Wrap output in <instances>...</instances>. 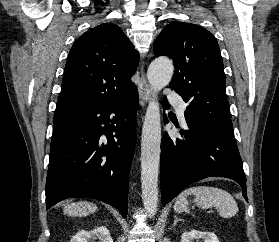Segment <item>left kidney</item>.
Here are the masks:
<instances>
[{"instance_id":"obj_1","label":"left kidney","mask_w":279,"mask_h":242,"mask_svg":"<svg viewBox=\"0 0 279 242\" xmlns=\"http://www.w3.org/2000/svg\"><path fill=\"white\" fill-rule=\"evenodd\" d=\"M193 239H203V242H219L217 236L212 232H201L192 229L181 235V242H192Z\"/></svg>"}]
</instances>
